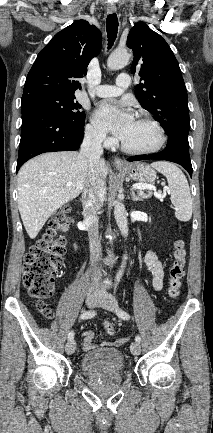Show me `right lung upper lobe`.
Instances as JSON below:
<instances>
[{"mask_svg":"<svg viewBox=\"0 0 213 433\" xmlns=\"http://www.w3.org/2000/svg\"><path fill=\"white\" fill-rule=\"evenodd\" d=\"M102 45L101 31L85 20L75 21L57 33L39 52L29 71L23 96L37 92L74 95L90 60Z\"/></svg>","mask_w":213,"mask_h":433,"instance_id":"obj_1","label":"right lung upper lobe"}]
</instances>
